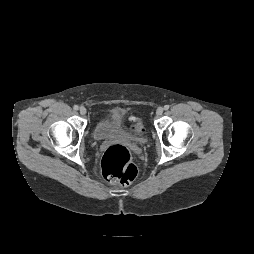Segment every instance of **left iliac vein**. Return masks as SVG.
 I'll list each match as a JSON object with an SVG mask.
<instances>
[{"label": "left iliac vein", "mask_w": 254, "mask_h": 254, "mask_svg": "<svg viewBox=\"0 0 254 254\" xmlns=\"http://www.w3.org/2000/svg\"><path fill=\"white\" fill-rule=\"evenodd\" d=\"M163 111L164 109L162 107H159L157 110H156V115L159 117L163 114Z\"/></svg>", "instance_id": "4c4485c4"}]
</instances>
